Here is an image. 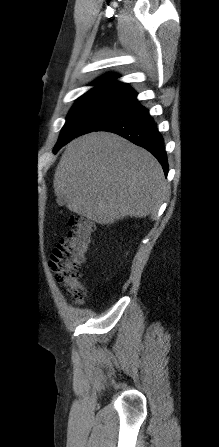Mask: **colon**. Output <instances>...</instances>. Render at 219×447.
<instances>
[{"instance_id": "colon-1", "label": "colon", "mask_w": 219, "mask_h": 447, "mask_svg": "<svg viewBox=\"0 0 219 447\" xmlns=\"http://www.w3.org/2000/svg\"><path fill=\"white\" fill-rule=\"evenodd\" d=\"M69 226L68 235L52 251L50 266L56 280L67 287L76 301H82L85 290L79 280L80 268L90 249L94 225L85 217L73 216Z\"/></svg>"}]
</instances>
